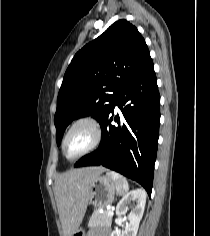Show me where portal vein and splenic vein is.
I'll use <instances>...</instances> for the list:
<instances>
[{
	"label": "portal vein and splenic vein",
	"mask_w": 210,
	"mask_h": 236,
	"mask_svg": "<svg viewBox=\"0 0 210 236\" xmlns=\"http://www.w3.org/2000/svg\"><path fill=\"white\" fill-rule=\"evenodd\" d=\"M108 214H109V215H113V211L109 210V211H108Z\"/></svg>",
	"instance_id": "portal-vein-and-splenic-vein-1"
}]
</instances>
